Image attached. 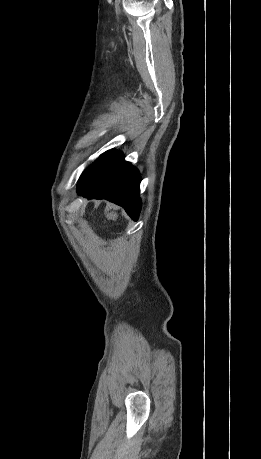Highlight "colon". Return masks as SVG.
I'll list each match as a JSON object with an SVG mask.
<instances>
[{"label":"colon","instance_id":"obj_1","mask_svg":"<svg viewBox=\"0 0 261 459\" xmlns=\"http://www.w3.org/2000/svg\"><path fill=\"white\" fill-rule=\"evenodd\" d=\"M115 218V213L114 212H111L109 214H107V219L108 220H113Z\"/></svg>","mask_w":261,"mask_h":459}]
</instances>
